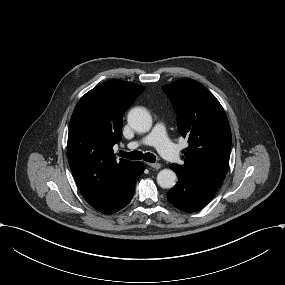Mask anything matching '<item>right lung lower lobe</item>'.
<instances>
[{
    "label": "right lung lower lobe",
    "mask_w": 285,
    "mask_h": 285,
    "mask_svg": "<svg viewBox=\"0 0 285 285\" xmlns=\"http://www.w3.org/2000/svg\"><path fill=\"white\" fill-rule=\"evenodd\" d=\"M144 171V165L142 162H137L132 171L127 175L126 179L120 186V189L115 197V199L107 205L105 208L98 210L105 214H111L124 208L131 201L134 190L135 183L140 175Z\"/></svg>",
    "instance_id": "98d812e1"
}]
</instances>
